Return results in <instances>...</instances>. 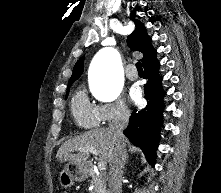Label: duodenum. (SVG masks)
Returning <instances> with one entry per match:
<instances>
[{
  "instance_id": "1",
  "label": "duodenum",
  "mask_w": 221,
  "mask_h": 193,
  "mask_svg": "<svg viewBox=\"0 0 221 193\" xmlns=\"http://www.w3.org/2000/svg\"><path fill=\"white\" fill-rule=\"evenodd\" d=\"M89 173H90V174H93V173H94V170L91 169V168H89Z\"/></svg>"
}]
</instances>
